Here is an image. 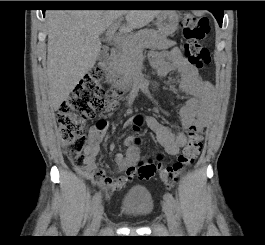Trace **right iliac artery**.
<instances>
[{
    "mask_svg": "<svg viewBox=\"0 0 265 245\" xmlns=\"http://www.w3.org/2000/svg\"><path fill=\"white\" fill-rule=\"evenodd\" d=\"M101 202V193L100 192H96L94 194V196L92 197L90 206L88 208V212L90 215L93 214V212L95 211L96 207L100 204ZM86 236L88 235V230L85 231L84 233Z\"/></svg>",
    "mask_w": 265,
    "mask_h": 245,
    "instance_id": "obj_1",
    "label": "right iliac artery"
}]
</instances>
